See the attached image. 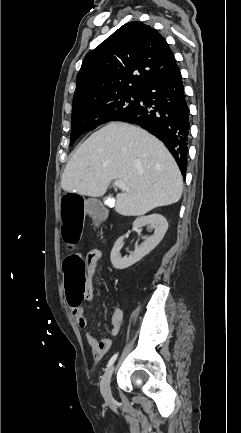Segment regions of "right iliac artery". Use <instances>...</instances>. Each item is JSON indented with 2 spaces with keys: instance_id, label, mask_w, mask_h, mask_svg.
<instances>
[{
  "instance_id": "right-iliac-artery-1",
  "label": "right iliac artery",
  "mask_w": 241,
  "mask_h": 433,
  "mask_svg": "<svg viewBox=\"0 0 241 433\" xmlns=\"http://www.w3.org/2000/svg\"><path fill=\"white\" fill-rule=\"evenodd\" d=\"M118 353L114 354L111 359L109 360L108 364H107V368H109L117 359Z\"/></svg>"
}]
</instances>
